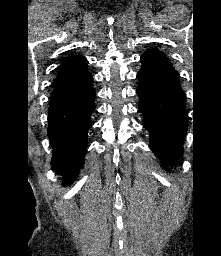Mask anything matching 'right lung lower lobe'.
<instances>
[{"instance_id": "98d812e1", "label": "right lung lower lobe", "mask_w": 221, "mask_h": 256, "mask_svg": "<svg viewBox=\"0 0 221 256\" xmlns=\"http://www.w3.org/2000/svg\"><path fill=\"white\" fill-rule=\"evenodd\" d=\"M94 99L92 89L66 101L50 103L47 132L53 153L51 164L63 175L64 185L73 182L84 162Z\"/></svg>"}]
</instances>
